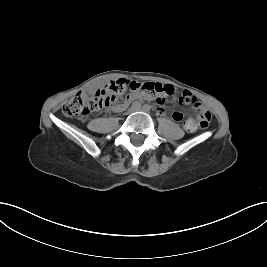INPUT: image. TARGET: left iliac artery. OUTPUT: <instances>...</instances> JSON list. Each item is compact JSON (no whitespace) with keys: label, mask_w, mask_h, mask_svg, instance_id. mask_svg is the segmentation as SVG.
I'll use <instances>...</instances> for the list:
<instances>
[{"label":"left iliac artery","mask_w":267,"mask_h":267,"mask_svg":"<svg viewBox=\"0 0 267 267\" xmlns=\"http://www.w3.org/2000/svg\"><path fill=\"white\" fill-rule=\"evenodd\" d=\"M143 109H145L146 111H149L151 109L150 105L146 104L143 106Z\"/></svg>","instance_id":"1"}]
</instances>
